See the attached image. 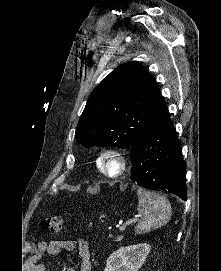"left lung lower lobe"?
Wrapping results in <instances>:
<instances>
[{
  "label": "left lung lower lobe",
  "instance_id": "1",
  "mask_svg": "<svg viewBox=\"0 0 221 271\" xmlns=\"http://www.w3.org/2000/svg\"><path fill=\"white\" fill-rule=\"evenodd\" d=\"M131 179L147 189H159L187 199L185 162L169 115L145 131L130 148Z\"/></svg>",
  "mask_w": 221,
  "mask_h": 271
}]
</instances>
